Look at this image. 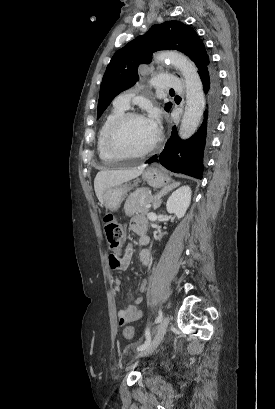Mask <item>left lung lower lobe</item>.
<instances>
[{"label": "left lung lower lobe", "instance_id": "left-lung-lower-lobe-1", "mask_svg": "<svg viewBox=\"0 0 275 409\" xmlns=\"http://www.w3.org/2000/svg\"><path fill=\"white\" fill-rule=\"evenodd\" d=\"M207 95V110L204 121L195 135L188 140H181L175 126L162 153L151 157L146 163L159 162L166 169L202 179L203 153L207 141L217 125L220 114L221 89L218 75L213 66L208 64L199 72Z\"/></svg>", "mask_w": 275, "mask_h": 409}]
</instances>
